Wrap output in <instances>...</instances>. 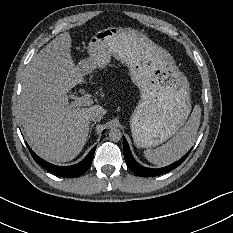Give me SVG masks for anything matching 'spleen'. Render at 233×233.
Instances as JSON below:
<instances>
[{"label":"spleen","instance_id":"1","mask_svg":"<svg viewBox=\"0 0 233 233\" xmlns=\"http://www.w3.org/2000/svg\"><path fill=\"white\" fill-rule=\"evenodd\" d=\"M201 108L195 105L187 124L166 144L144 151L146 159L159 167L179 160L193 145L199 129Z\"/></svg>","mask_w":233,"mask_h":233}]
</instances>
